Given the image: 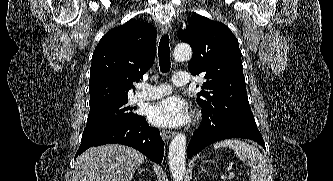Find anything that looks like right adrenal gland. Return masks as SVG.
Returning a JSON list of instances; mask_svg holds the SVG:
<instances>
[{
  "instance_id": "right-adrenal-gland-1",
  "label": "right adrenal gland",
  "mask_w": 333,
  "mask_h": 181,
  "mask_svg": "<svg viewBox=\"0 0 333 181\" xmlns=\"http://www.w3.org/2000/svg\"><path fill=\"white\" fill-rule=\"evenodd\" d=\"M143 171H145L144 169H142V168H139V172H143Z\"/></svg>"
}]
</instances>
